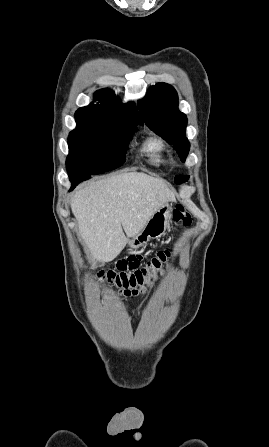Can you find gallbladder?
<instances>
[{
    "label": "gallbladder",
    "instance_id": "1",
    "mask_svg": "<svg viewBox=\"0 0 269 447\" xmlns=\"http://www.w3.org/2000/svg\"><path fill=\"white\" fill-rule=\"evenodd\" d=\"M101 265H104V261H96L94 267H101Z\"/></svg>",
    "mask_w": 269,
    "mask_h": 447
}]
</instances>
